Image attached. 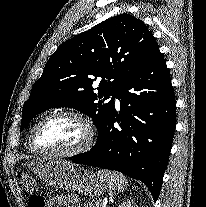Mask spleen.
<instances>
[{"mask_svg": "<svg viewBox=\"0 0 206 207\" xmlns=\"http://www.w3.org/2000/svg\"><path fill=\"white\" fill-rule=\"evenodd\" d=\"M98 175L108 180L112 190L114 191L123 192L128 185L127 178L120 173L99 170Z\"/></svg>", "mask_w": 206, "mask_h": 207, "instance_id": "3e777b00", "label": "spleen"}]
</instances>
